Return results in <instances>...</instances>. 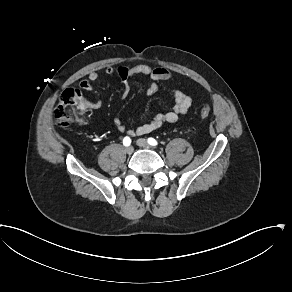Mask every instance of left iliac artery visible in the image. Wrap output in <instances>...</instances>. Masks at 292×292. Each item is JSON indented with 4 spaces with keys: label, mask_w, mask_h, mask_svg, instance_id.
Listing matches in <instances>:
<instances>
[{
    "label": "left iliac artery",
    "mask_w": 292,
    "mask_h": 292,
    "mask_svg": "<svg viewBox=\"0 0 292 292\" xmlns=\"http://www.w3.org/2000/svg\"><path fill=\"white\" fill-rule=\"evenodd\" d=\"M148 143L152 146H156L158 144V142L152 137L148 138Z\"/></svg>",
    "instance_id": "1"
}]
</instances>
